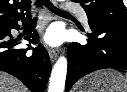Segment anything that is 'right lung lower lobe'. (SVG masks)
Instances as JSON below:
<instances>
[{
  "label": "right lung lower lobe",
  "instance_id": "right-lung-lower-lobe-1",
  "mask_svg": "<svg viewBox=\"0 0 127 92\" xmlns=\"http://www.w3.org/2000/svg\"><path fill=\"white\" fill-rule=\"evenodd\" d=\"M19 20L25 24L24 38L30 42L38 40L34 31L36 19L24 17L0 25V70L17 77L31 92H44L51 71L49 55L43 46L34 49L32 54L27 53L30 48L16 47L20 42L12 37L11 29H19Z\"/></svg>",
  "mask_w": 127,
  "mask_h": 92
}]
</instances>
